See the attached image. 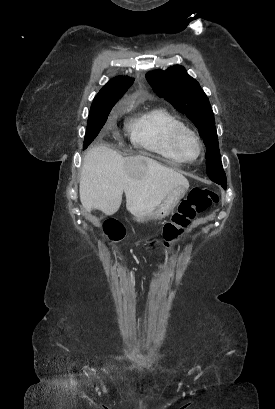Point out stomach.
Segmentation results:
<instances>
[{
    "label": "stomach",
    "instance_id": "obj_1",
    "mask_svg": "<svg viewBox=\"0 0 275 409\" xmlns=\"http://www.w3.org/2000/svg\"><path fill=\"white\" fill-rule=\"evenodd\" d=\"M187 188L184 186V184H179V186H176V188H173V190H170L168 192L167 196L159 202V205L155 207L154 211L152 213H148V215H143V217H135V221L137 223H147V221H162V219H165L167 215H170L171 211L175 209L176 205H178V202L180 198H183Z\"/></svg>",
    "mask_w": 275,
    "mask_h": 409
}]
</instances>
